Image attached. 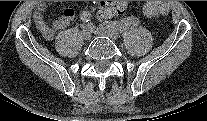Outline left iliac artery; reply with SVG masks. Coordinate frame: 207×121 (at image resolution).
<instances>
[{
    "mask_svg": "<svg viewBox=\"0 0 207 121\" xmlns=\"http://www.w3.org/2000/svg\"><path fill=\"white\" fill-rule=\"evenodd\" d=\"M136 22H137V17L136 16H131L130 18L123 19L120 22H107L104 25H106L109 28H113L117 32H123L128 27L134 26Z\"/></svg>",
    "mask_w": 207,
    "mask_h": 121,
    "instance_id": "1",
    "label": "left iliac artery"
}]
</instances>
